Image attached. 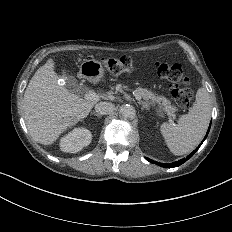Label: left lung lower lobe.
I'll return each instance as SVG.
<instances>
[{
  "mask_svg": "<svg viewBox=\"0 0 232 232\" xmlns=\"http://www.w3.org/2000/svg\"><path fill=\"white\" fill-rule=\"evenodd\" d=\"M210 127H211V123H210V125H209V128H208V131H207V133H206V136L204 137V139H203V141L206 139V137H207V135H208V133H209V130H210ZM203 141L201 142V144L203 143ZM201 144L190 154V155H188L186 158H183V159H181V160H179V161H176V162H172V163H158V162H156V161H153V160H151V159H149V158H146L149 162H151V163H153V164H157V165H159V166H161V167H164V168H173V167H178V166H180L181 164H183L185 161H187L189 158H191L192 156H193V154L199 149V147L201 146Z\"/></svg>",
  "mask_w": 232,
  "mask_h": 232,
  "instance_id": "0a47b994",
  "label": "left lung lower lobe"
}]
</instances>
